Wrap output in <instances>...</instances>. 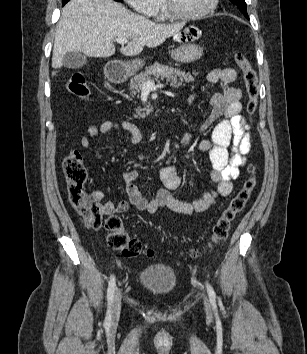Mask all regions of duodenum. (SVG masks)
I'll use <instances>...</instances> for the list:
<instances>
[{"label":"duodenum","instance_id":"1","mask_svg":"<svg viewBox=\"0 0 307 354\" xmlns=\"http://www.w3.org/2000/svg\"><path fill=\"white\" fill-rule=\"evenodd\" d=\"M108 77L114 83H120L125 79L123 72L116 68L109 69Z\"/></svg>","mask_w":307,"mask_h":354}]
</instances>
